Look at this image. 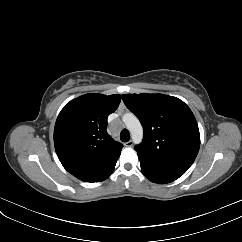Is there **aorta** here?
<instances>
[{"label": "aorta", "instance_id": "obj_1", "mask_svg": "<svg viewBox=\"0 0 242 242\" xmlns=\"http://www.w3.org/2000/svg\"><path fill=\"white\" fill-rule=\"evenodd\" d=\"M123 121L131 134L133 142L135 144L141 143L143 139V128L138 118L134 114L129 113L123 116Z\"/></svg>", "mask_w": 242, "mask_h": 242}]
</instances>
